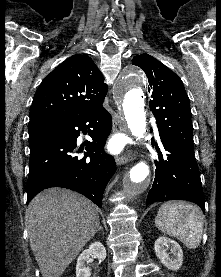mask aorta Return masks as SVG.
<instances>
[{"mask_svg": "<svg viewBox=\"0 0 221 277\" xmlns=\"http://www.w3.org/2000/svg\"><path fill=\"white\" fill-rule=\"evenodd\" d=\"M144 83L145 76L142 70L135 66H128L122 71L116 85V95L122 103L128 128L137 139L143 138L146 132ZM149 173V166L145 161H139L131 167L121 191L123 203L132 201L148 188Z\"/></svg>", "mask_w": 221, "mask_h": 277, "instance_id": "1", "label": "aorta"}]
</instances>
